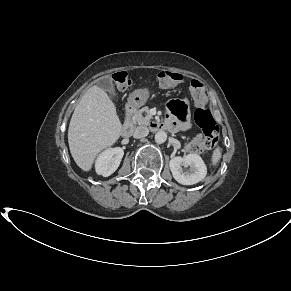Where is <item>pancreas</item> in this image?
Listing matches in <instances>:
<instances>
[{"label": "pancreas", "instance_id": "cf45deb5", "mask_svg": "<svg viewBox=\"0 0 291 291\" xmlns=\"http://www.w3.org/2000/svg\"><path fill=\"white\" fill-rule=\"evenodd\" d=\"M151 119L152 116L149 114V107L146 106L135 112L132 117V122L138 125H148Z\"/></svg>", "mask_w": 291, "mask_h": 291}]
</instances>
